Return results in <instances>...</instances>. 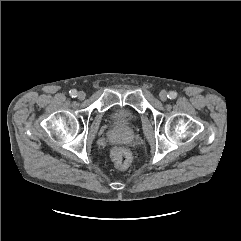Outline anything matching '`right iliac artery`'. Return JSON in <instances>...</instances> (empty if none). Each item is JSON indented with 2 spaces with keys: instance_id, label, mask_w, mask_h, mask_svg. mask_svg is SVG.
<instances>
[{
  "instance_id": "82829eb1",
  "label": "right iliac artery",
  "mask_w": 241,
  "mask_h": 241,
  "mask_svg": "<svg viewBox=\"0 0 241 241\" xmlns=\"http://www.w3.org/2000/svg\"><path fill=\"white\" fill-rule=\"evenodd\" d=\"M70 95H71L72 98L77 97V91L75 89L71 90Z\"/></svg>"
}]
</instances>
